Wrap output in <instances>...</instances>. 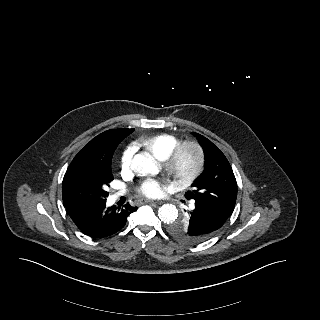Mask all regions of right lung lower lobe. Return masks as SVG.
<instances>
[{
	"mask_svg": "<svg viewBox=\"0 0 320 320\" xmlns=\"http://www.w3.org/2000/svg\"><path fill=\"white\" fill-rule=\"evenodd\" d=\"M67 212L76 226L87 236L98 239L120 231L126 224L127 217L137 207L129 203L122 208L106 207V200L100 203L65 205Z\"/></svg>",
	"mask_w": 320,
	"mask_h": 320,
	"instance_id": "obj_1",
	"label": "right lung lower lobe"
}]
</instances>
